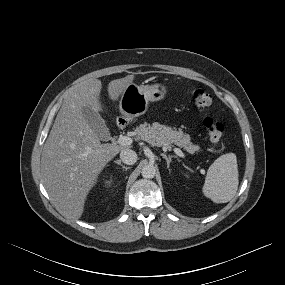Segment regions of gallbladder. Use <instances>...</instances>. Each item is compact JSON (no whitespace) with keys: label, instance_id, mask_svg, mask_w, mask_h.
<instances>
[{"label":"gallbladder","instance_id":"bac80fb5","mask_svg":"<svg viewBox=\"0 0 285 285\" xmlns=\"http://www.w3.org/2000/svg\"><path fill=\"white\" fill-rule=\"evenodd\" d=\"M82 111L90 128L99 137V139L103 141L108 140L110 138V133L101 115L90 107H84Z\"/></svg>","mask_w":285,"mask_h":285}]
</instances>
